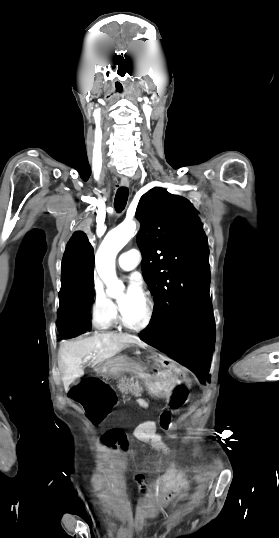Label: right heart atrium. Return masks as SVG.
Segmentation results:
<instances>
[{
  "label": "right heart atrium",
  "instance_id": "obj_1",
  "mask_svg": "<svg viewBox=\"0 0 279 538\" xmlns=\"http://www.w3.org/2000/svg\"><path fill=\"white\" fill-rule=\"evenodd\" d=\"M93 293V324L97 328L107 327L117 316V303L106 294L102 284L96 276H94L93 279Z\"/></svg>",
  "mask_w": 279,
  "mask_h": 538
}]
</instances>
